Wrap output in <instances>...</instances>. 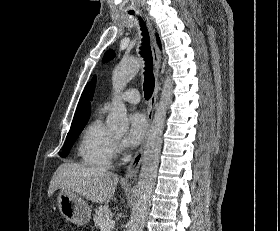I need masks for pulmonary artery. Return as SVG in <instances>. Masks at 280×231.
I'll list each match as a JSON object with an SVG mask.
<instances>
[{
  "label": "pulmonary artery",
  "mask_w": 280,
  "mask_h": 231,
  "mask_svg": "<svg viewBox=\"0 0 280 231\" xmlns=\"http://www.w3.org/2000/svg\"><path fill=\"white\" fill-rule=\"evenodd\" d=\"M121 102H128L131 104H137L140 100V94L136 89H128L126 90L119 98ZM112 103L107 102L103 106V111L108 110L111 107Z\"/></svg>",
  "instance_id": "1"
}]
</instances>
